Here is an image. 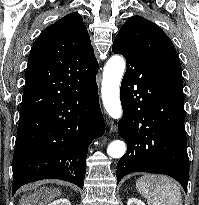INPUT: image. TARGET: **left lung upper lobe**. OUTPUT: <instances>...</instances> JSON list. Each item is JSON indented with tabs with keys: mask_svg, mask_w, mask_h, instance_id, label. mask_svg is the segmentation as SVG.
<instances>
[{
	"mask_svg": "<svg viewBox=\"0 0 199 205\" xmlns=\"http://www.w3.org/2000/svg\"><path fill=\"white\" fill-rule=\"evenodd\" d=\"M114 43H121L140 55L169 86L183 92L182 70L177 51L158 25L141 16H132L123 24Z\"/></svg>",
	"mask_w": 199,
	"mask_h": 205,
	"instance_id": "left-lung-upper-lobe-1",
	"label": "left lung upper lobe"
}]
</instances>
